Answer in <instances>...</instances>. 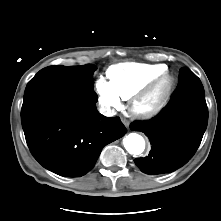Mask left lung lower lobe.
Wrapping results in <instances>:
<instances>
[{
  "instance_id": "1",
  "label": "left lung lower lobe",
  "mask_w": 221,
  "mask_h": 221,
  "mask_svg": "<svg viewBox=\"0 0 221 221\" xmlns=\"http://www.w3.org/2000/svg\"><path fill=\"white\" fill-rule=\"evenodd\" d=\"M208 122V108L200 79L188 68L179 71V82L169 103L151 120L135 121L130 128L143 132L152 147L135 164L146 174L170 173L186 164L198 149Z\"/></svg>"
}]
</instances>
